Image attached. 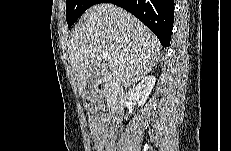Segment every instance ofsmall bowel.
Returning a JSON list of instances; mask_svg holds the SVG:
<instances>
[{"mask_svg":"<svg viewBox=\"0 0 231 151\" xmlns=\"http://www.w3.org/2000/svg\"><path fill=\"white\" fill-rule=\"evenodd\" d=\"M110 122L111 118L106 114H97L89 118L88 124L95 151L113 150L116 132Z\"/></svg>","mask_w":231,"mask_h":151,"instance_id":"obj_1","label":"small bowel"}]
</instances>
